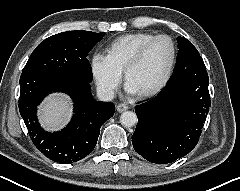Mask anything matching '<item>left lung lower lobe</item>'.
Returning a JSON list of instances; mask_svg holds the SVG:
<instances>
[{"instance_id": "obj_1", "label": "left lung lower lobe", "mask_w": 240, "mask_h": 191, "mask_svg": "<svg viewBox=\"0 0 240 191\" xmlns=\"http://www.w3.org/2000/svg\"><path fill=\"white\" fill-rule=\"evenodd\" d=\"M208 83L206 70L176 66L166 87L135 107V151L157 164L171 163L192 151L209 112Z\"/></svg>"}]
</instances>
